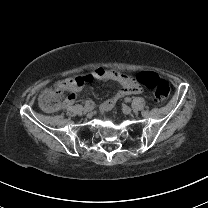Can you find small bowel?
I'll use <instances>...</instances> for the list:
<instances>
[{
  "label": "small bowel",
  "instance_id": "c3829d8e",
  "mask_svg": "<svg viewBox=\"0 0 208 208\" xmlns=\"http://www.w3.org/2000/svg\"><path fill=\"white\" fill-rule=\"evenodd\" d=\"M67 79L71 82L72 92L62 105L64 110H67L69 106L74 103L76 93L86 83L92 82L95 79H111L121 84V88L101 104V109L103 111H110L113 109L116 103L125 96L141 93V88L128 74L108 70L103 67H97L92 73H88L82 76L69 77Z\"/></svg>",
  "mask_w": 208,
  "mask_h": 208
}]
</instances>
